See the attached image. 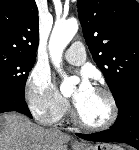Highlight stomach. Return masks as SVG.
I'll use <instances>...</instances> for the list:
<instances>
[{"label":"stomach","mask_w":139,"mask_h":150,"mask_svg":"<svg viewBox=\"0 0 139 150\" xmlns=\"http://www.w3.org/2000/svg\"><path fill=\"white\" fill-rule=\"evenodd\" d=\"M73 150H122L120 147L111 144H96V145H73Z\"/></svg>","instance_id":"obj_1"}]
</instances>
